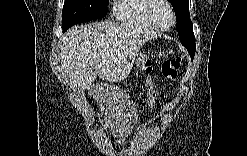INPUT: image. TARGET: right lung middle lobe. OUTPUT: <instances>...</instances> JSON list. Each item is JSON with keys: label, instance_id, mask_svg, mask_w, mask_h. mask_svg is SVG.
Returning a JSON list of instances; mask_svg holds the SVG:
<instances>
[{"label": "right lung middle lobe", "instance_id": "dd1d6c3e", "mask_svg": "<svg viewBox=\"0 0 247 156\" xmlns=\"http://www.w3.org/2000/svg\"><path fill=\"white\" fill-rule=\"evenodd\" d=\"M107 5L108 0H65L62 16L63 32L77 23L106 16Z\"/></svg>", "mask_w": 247, "mask_h": 156}]
</instances>
